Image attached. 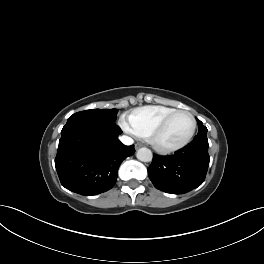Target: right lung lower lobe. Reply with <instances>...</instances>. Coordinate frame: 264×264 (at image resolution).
Wrapping results in <instances>:
<instances>
[{"label": "right lung lower lobe", "mask_w": 264, "mask_h": 264, "mask_svg": "<svg viewBox=\"0 0 264 264\" xmlns=\"http://www.w3.org/2000/svg\"><path fill=\"white\" fill-rule=\"evenodd\" d=\"M119 126L91 120L67 121L61 131L55 167L68 190L97 195L111 189L120 163L134 154V145L122 144Z\"/></svg>", "instance_id": "obj_1"}]
</instances>
